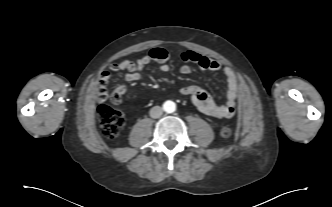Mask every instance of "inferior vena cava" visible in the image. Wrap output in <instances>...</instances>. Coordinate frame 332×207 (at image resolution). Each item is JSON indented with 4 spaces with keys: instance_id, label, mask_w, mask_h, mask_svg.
Segmentation results:
<instances>
[{
    "instance_id": "obj_1",
    "label": "inferior vena cava",
    "mask_w": 332,
    "mask_h": 207,
    "mask_svg": "<svg viewBox=\"0 0 332 207\" xmlns=\"http://www.w3.org/2000/svg\"><path fill=\"white\" fill-rule=\"evenodd\" d=\"M163 114V109L160 106H154L150 110V116L152 118H159Z\"/></svg>"
}]
</instances>
